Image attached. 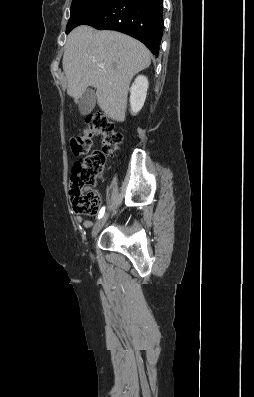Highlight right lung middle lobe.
Instances as JSON below:
<instances>
[{
    "label": "right lung middle lobe",
    "instance_id": "obj_1",
    "mask_svg": "<svg viewBox=\"0 0 254 397\" xmlns=\"http://www.w3.org/2000/svg\"><path fill=\"white\" fill-rule=\"evenodd\" d=\"M110 0H73L71 17L66 26L68 34L73 28L100 12Z\"/></svg>",
    "mask_w": 254,
    "mask_h": 397
}]
</instances>
